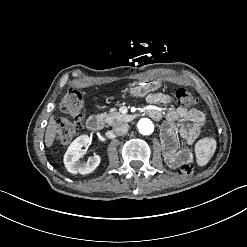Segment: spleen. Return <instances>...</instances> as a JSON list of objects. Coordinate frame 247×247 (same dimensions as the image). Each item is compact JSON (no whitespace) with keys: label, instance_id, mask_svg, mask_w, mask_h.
<instances>
[{"label":"spleen","instance_id":"1","mask_svg":"<svg viewBox=\"0 0 247 247\" xmlns=\"http://www.w3.org/2000/svg\"><path fill=\"white\" fill-rule=\"evenodd\" d=\"M206 141V146L203 149V152H201L199 149H196L197 152V163L199 166H204L208 163L210 160V148L212 147V144L215 146L216 141L214 139H205Z\"/></svg>","mask_w":247,"mask_h":247}]
</instances>
